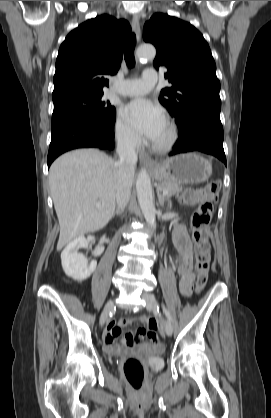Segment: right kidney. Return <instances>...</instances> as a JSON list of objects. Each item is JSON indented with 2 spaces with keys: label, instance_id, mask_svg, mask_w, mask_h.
Segmentation results:
<instances>
[{
  "label": "right kidney",
  "instance_id": "ca27d5eb",
  "mask_svg": "<svg viewBox=\"0 0 271 418\" xmlns=\"http://www.w3.org/2000/svg\"><path fill=\"white\" fill-rule=\"evenodd\" d=\"M93 239L94 237L91 235L87 238L84 236L77 237L61 253L62 267L65 274L76 281L86 280L96 269V261L88 263L87 258L83 254L78 253L80 248L87 247Z\"/></svg>",
  "mask_w": 271,
  "mask_h": 418
}]
</instances>
